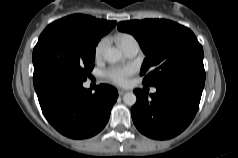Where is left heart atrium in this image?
<instances>
[{
    "instance_id": "obj_1",
    "label": "left heart atrium",
    "mask_w": 238,
    "mask_h": 158,
    "mask_svg": "<svg viewBox=\"0 0 238 158\" xmlns=\"http://www.w3.org/2000/svg\"><path fill=\"white\" fill-rule=\"evenodd\" d=\"M134 71L132 66H114L107 71V77L115 84L126 85Z\"/></svg>"
}]
</instances>
